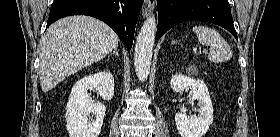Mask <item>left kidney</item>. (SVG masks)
I'll return each mask as SVG.
<instances>
[{
  "label": "left kidney",
  "instance_id": "left-kidney-1",
  "mask_svg": "<svg viewBox=\"0 0 280 137\" xmlns=\"http://www.w3.org/2000/svg\"><path fill=\"white\" fill-rule=\"evenodd\" d=\"M174 92L190 88L192 100L198 101V115L188 117L182 112L175 115L177 130L181 137H202L213 122V105L205 82L183 74H175L170 81Z\"/></svg>",
  "mask_w": 280,
  "mask_h": 137
}]
</instances>
